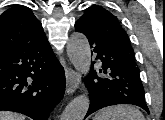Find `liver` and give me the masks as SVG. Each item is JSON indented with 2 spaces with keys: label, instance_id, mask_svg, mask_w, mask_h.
<instances>
[{
  "label": "liver",
  "instance_id": "obj_1",
  "mask_svg": "<svg viewBox=\"0 0 165 120\" xmlns=\"http://www.w3.org/2000/svg\"><path fill=\"white\" fill-rule=\"evenodd\" d=\"M0 120H25V116L9 111H0Z\"/></svg>",
  "mask_w": 165,
  "mask_h": 120
}]
</instances>
